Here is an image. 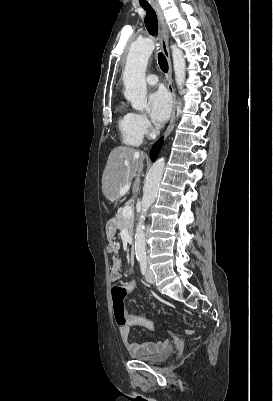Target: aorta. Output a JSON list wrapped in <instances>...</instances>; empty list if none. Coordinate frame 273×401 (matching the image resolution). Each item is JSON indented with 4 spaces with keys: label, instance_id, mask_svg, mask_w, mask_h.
<instances>
[{
    "label": "aorta",
    "instance_id": "obj_1",
    "mask_svg": "<svg viewBox=\"0 0 273 401\" xmlns=\"http://www.w3.org/2000/svg\"><path fill=\"white\" fill-rule=\"evenodd\" d=\"M171 48L176 84L178 88L182 89L185 79V60L182 51L176 45H172ZM153 50L154 41L151 38L135 42L130 48L123 73L124 95L133 109L139 112H144L148 109L145 73ZM164 168L165 159L159 158L156 160L147 174L143 187L142 211L135 233V254L138 260L146 258L144 220L149 207L156 199Z\"/></svg>",
    "mask_w": 273,
    "mask_h": 401
}]
</instances>
